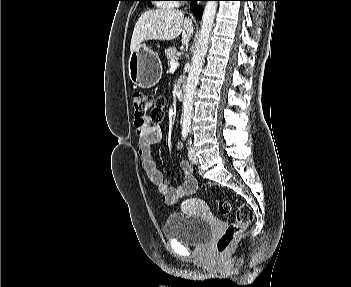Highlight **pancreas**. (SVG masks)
<instances>
[{
	"label": "pancreas",
	"mask_w": 351,
	"mask_h": 287,
	"mask_svg": "<svg viewBox=\"0 0 351 287\" xmlns=\"http://www.w3.org/2000/svg\"><path fill=\"white\" fill-rule=\"evenodd\" d=\"M177 50L175 47H170L165 50V56L167 57L168 63H170L173 59H177Z\"/></svg>",
	"instance_id": "cf45deb5"
}]
</instances>
